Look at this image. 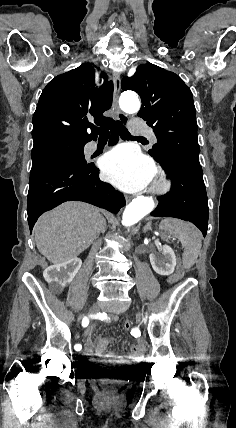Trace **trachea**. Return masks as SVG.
Segmentation results:
<instances>
[{"mask_svg": "<svg viewBox=\"0 0 236 428\" xmlns=\"http://www.w3.org/2000/svg\"><path fill=\"white\" fill-rule=\"evenodd\" d=\"M117 128H118V133L120 135L121 138L123 139H129V138H143V137H132L129 133V131L124 127V125L121 122H117ZM91 130L97 134H99V139L102 140H108L110 134L109 132L104 129V128H96V127H92Z\"/></svg>", "mask_w": 236, "mask_h": 428, "instance_id": "1", "label": "trachea"}]
</instances>
